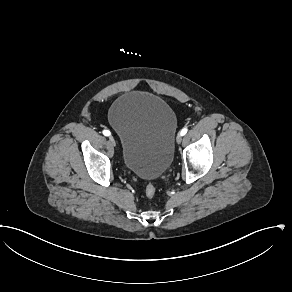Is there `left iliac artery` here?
Instances as JSON below:
<instances>
[{"label": "left iliac artery", "mask_w": 292, "mask_h": 292, "mask_svg": "<svg viewBox=\"0 0 292 292\" xmlns=\"http://www.w3.org/2000/svg\"><path fill=\"white\" fill-rule=\"evenodd\" d=\"M188 129L187 128H183L180 132V135L184 136L187 133Z\"/></svg>", "instance_id": "1"}]
</instances>
